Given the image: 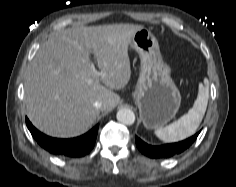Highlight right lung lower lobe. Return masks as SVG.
Listing matches in <instances>:
<instances>
[{"label": "right lung lower lobe", "instance_id": "1", "mask_svg": "<svg viewBox=\"0 0 236 187\" xmlns=\"http://www.w3.org/2000/svg\"><path fill=\"white\" fill-rule=\"evenodd\" d=\"M26 124L34 139L45 150L54 155L72 158L83 157L92 150L99 127V125H96L86 134L76 138L58 139L49 137L38 131L28 119H26Z\"/></svg>", "mask_w": 236, "mask_h": 187}]
</instances>
